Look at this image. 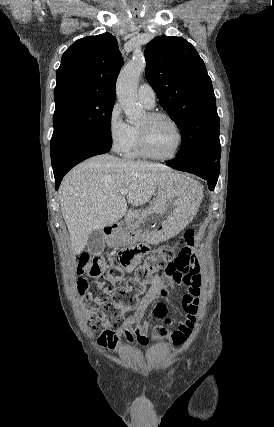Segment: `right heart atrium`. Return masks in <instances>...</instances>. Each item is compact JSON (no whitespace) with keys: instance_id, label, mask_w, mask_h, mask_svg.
<instances>
[{"instance_id":"d8ad5b80","label":"right heart atrium","mask_w":274,"mask_h":427,"mask_svg":"<svg viewBox=\"0 0 274 427\" xmlns=\"http://www.w3.org/2000/svg\"><path fill=\"white\" fill-rule=\"evenodd\" d=\"M106 131L111 149L123 152L131 138V126L123 120L118 104L113 105L107 115Z\"/></svg>"}]
</instances>
